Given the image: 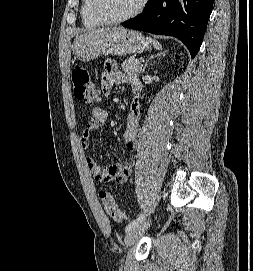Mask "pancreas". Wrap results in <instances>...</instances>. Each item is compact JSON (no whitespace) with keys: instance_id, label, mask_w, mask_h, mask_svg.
<instances>
[{"instance_id":"pancreas-1","label":"pancreas","mask_w":253,"mask_h":271,"mask_svg":"<svg viewBox=\"0 0 253 271\" xmlns=\"http://www.w3.org/2000/svg\"><path fill=\"white\" fill-rule=\"evenodd\" d=\"M137 59L135 56H131L130 58L126 59L121 67L123 71L127 74L134 75V76H139L141 73V66L136 64Z\"/></svg>"}]
</instances>
